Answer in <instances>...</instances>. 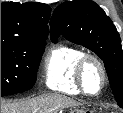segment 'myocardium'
Here are the masks:
<instances>
[{
	"label": "myocardium",
	"instance_id": "myocardium-1",
	"mask_svg": "<svg viewBox=\"0 0 123 113\" xmlns=\"http://www.w3.org/2000/svg\"><path fill=\"white\" fill-rule=\"evenodd\" d=\"M90 63H94L98 67L101 75L100 86L95 92H90L88 90V86L86 82V69ZM75 76L78 86L82 89L84 93L88 95H92V96L100 95L107 84V73L103 62L99 57L91 53L83 54L80 57L76 65Z\"/></svg>",
	"mask_w": 123,
	"mask_h": 113
}]
</instances>
